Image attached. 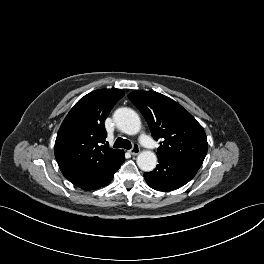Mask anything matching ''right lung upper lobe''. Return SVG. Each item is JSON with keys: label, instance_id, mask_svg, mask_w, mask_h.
Segmentation results:
<instances>
[{"label": "right lung upper lobe", "instance_id": "obj_1", "mask_svg": "<svg viewBox=\"0 0 264 264\" xmlns=\"http://www.w3.org/2000/svg\"><path fill=\"white\" fill-rule=\"evenodd\" d=\"M123 96L119 89L95 90L81 98L64 119L55 142V157L70 182L98 170L122 151L105 143L104 121Z\"/></svg>", "mask_w": 264, "mask_h": 264}]
</instances>
